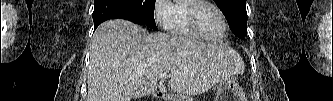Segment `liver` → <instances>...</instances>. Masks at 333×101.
Here are the masks:
<instances>
[{
  "label": "liver",
  "instance_id": "liver-1",
  "mask_svg": "<svg viewBox=\"0 0 333 101\" xmlns=\"http://www.w3.org/2000/svg\"><path fill=\"white\" fill-rule=\"evenodd\" d=\"M170 72L168 86L200 95L244 72L232 48L193 39L148 33L122 19L102 23L92 38L87 101H131L154 93L158 76Z\"/></svg>",
  "mask_w": 333,
  "mask_h": 101
}]
</instances>
